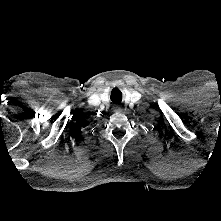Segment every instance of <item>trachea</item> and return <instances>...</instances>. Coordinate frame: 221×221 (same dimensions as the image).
Instances as JSON below:
<instances>
[{"label": "trachea", "mask_w": 221, "mask_h": 221, "mask_svg": "<svg viewBox=\"0 0 221 221\" xmlns=\"http://www.w3.org/2000/svg\"><path fill=\"white\" fill-rule=\"evenodd\" d=\"M111 101L113 103H120L122 101V93L119 89L114 88L111 92Z\"/></svg>", "instance_id": "1"}]
</instances>
